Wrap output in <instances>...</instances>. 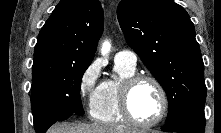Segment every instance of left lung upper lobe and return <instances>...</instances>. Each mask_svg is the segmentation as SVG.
<instances>
[{"mask_svg":"<svg viewBox=\"0 0 221 133\" xmlns=\"http://www.w3.org/2000/svg\"><path fill=\"white\" fill-rule=\"evenodd\" d=\"M117 16L128 45L166 92V122L193 105L204 104V64L184 8L173 0H122Z\"/></svg>","mask_w":221,"mask_h":133,"instance_id":"obj_1","label":"left lung upper lobe"}]
</instances>
